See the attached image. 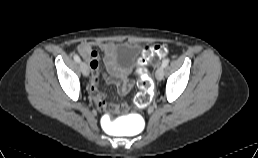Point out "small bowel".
<instances>
[{
  "mask_svg": "<svg viewBox=\"0 0 258 158\" xmlns=\"http://www.w3.org/2000/svg\"><path fill=\"white\" fill-rule=\"evenodd\" d=\"M98 48L104 53V65L107 71L106 81L117 86L121 95L129 92L133 86V79L129 68L120 69L115 65V44L105 41H84L81 42L77 50L80 55L88 62L92 72L89 93L96 105L100 109L107 108L106 95L102 94L99 89L100 82V55L95 50Z\"/></svg>",
  "mask_w": 258,
  "mask_h": 158,
  "instance_id": "small-bowel-1",
  "label": "small bowel"
}]
</instances>
